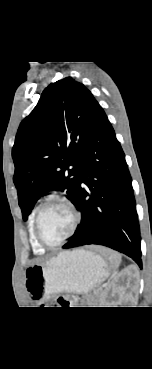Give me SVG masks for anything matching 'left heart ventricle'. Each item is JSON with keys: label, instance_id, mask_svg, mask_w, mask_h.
I'll return each mask as SVG.
<instances>
[{"label": "left heart ventricle", "instance_id": "b2bd125f", "mask_svg": "<svg viewBox=\"0 0 152 369\" xmlns=\"http://www.w3.org/2000/svg\"><path fill=\"white\" fill-rule=\"evenodd\" d=\"M72 215L63 204H49L40 217V232L47 243H55L62 239L71 229Z\"/></svg>", "mask_w": 152, "mask_h": 369}]
</instances>
